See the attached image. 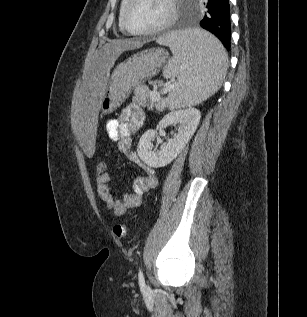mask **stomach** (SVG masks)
I'll return each instance as SVG.
<instances>
[{
	"label": "stomach",
	"mask_w": 307,
	"mask_h": 317,
	"mask_svg": "<svg viewBox=\"0 0 307 317\" xmlns=\"http://www.w3.org/2000/svg\"><path fill=\"white\" fill-rule=\"evenodd\" d=\"M168 58L162 48H153L132 55L118 64L102 98L103 113H111L145 79L156 75Z\"/></svg>",
	"instance_id": "0dacf381"
}]
</instances>
